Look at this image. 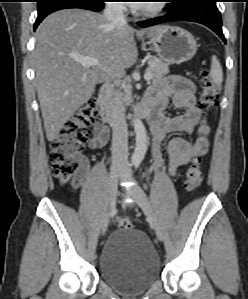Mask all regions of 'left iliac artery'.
Listing matches in <instances>:
<instances>
[{"label":"left iliac artery","mask_w":248,"mask_h":299,"mask_svg":"<svg viewBox=\"0 0 248 299\" xmlns=\"http://www.w3.org/2000/svg\"><path fill=\"white\" fill-rule=\"evenodd\" d=\"M139 165H140V162H139V161L135 162V167H136V168H138Z\"/></svg>","instance_id":"obj_1"}]
</instances>
